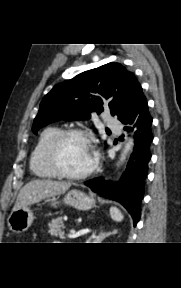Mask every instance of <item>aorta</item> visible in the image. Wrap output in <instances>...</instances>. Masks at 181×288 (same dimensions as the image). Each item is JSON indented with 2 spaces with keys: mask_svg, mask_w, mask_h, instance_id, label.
Here are the masks:
<instances>
[{
  "mask_svg": "<svg viewBox=\"0 0 181 288\" xmlns=\"http://www.w3.org/2000/svg\"><path fill=\"white\" fill-rule=\"evenodd\" d=\"M130 147H131V143H128L125 147L124 152L122 153L121 161L125 158V155H126L127 151L130 149Z\"/></svg>",
  "mask_w": 181,
  "mask_h": 288,
  "instance_id": "762f6f07",
  "label": "aorta"
}]
</instances>
